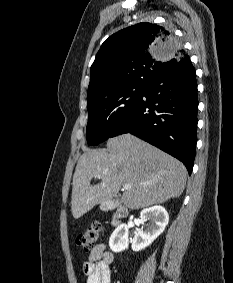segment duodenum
Instances as JSON below:
<instances>
[{
	"mask_svg": "<svg viewBox=\"0 0 233 283\" xmlns=\"http://www.w3.org/2000/svg\"><path fill=\"white\" fill-rule=\"evenodd\" d=\"M128 215V209L122 205L114 206V214L112 218V224L118 226L122 219Z\"/></svg>",
	"mask_w": 233,
	"mask_h": 283,
	"instance_id": "1",
	"label": "duodenum"
}]
</instances>
